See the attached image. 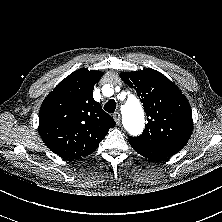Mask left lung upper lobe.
Returning a JSON list of instances; mask_svg holds the SVG:
<instances>
[{
	"instance_id": "left-lung-upper-lobe-1",
	"label": "left lung upper lobe",
	"mask_w": 222,
	"mask_h": 222,
	"mask_svg": "<svg viewBox=\"0 0 222 222\" xmlns=\"http://www.w3.org/2000/svg\"><path fill=\"white\" fill-rule=\"evenodd\" d=\"M120 77L137 91L148 117L142 135L128 138L151 145L183 147L191 136L193 120L190 104L178 87L153 69L122 72Z\"/></svg>"
}]
</instances>
